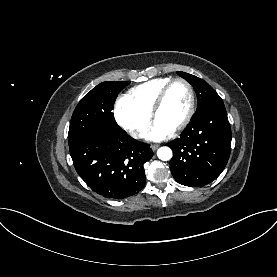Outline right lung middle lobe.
<instances>
[{
  "mask_svg": "<svg viewBox=\"0 0 277 277\" xmlns=\"http://www.w3.org/2000/svg\"><path fill=\"white\" fill-rule=\"evenodd\" d=\"M129 83L130 81L102 82L80 100L70 122L69 145L98 129L123 130L116 123L112 110L118 93Z\"/></svg>",
  "mask_w": 277,
  "mask_h": 277,
  "instance_id": "right-lung-middle-lobe-1",
  "label": "right lung middle lobe"
}]
</instances>
